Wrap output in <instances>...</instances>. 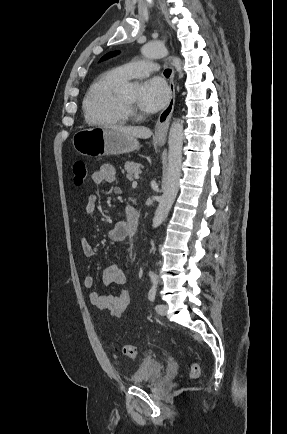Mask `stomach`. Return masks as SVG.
I'll list each match as a JSON object with an SVG mask.
<instances>
[{
  "label": "stomach",
  "instance_id": "0dacf381",
  "mask_svg": "<svg viewBox=\"0 0 287 434\" xmlns=\"http://www.w3.org/2000/svg\"><path fill=\"white\" fill-rule=\"evenodd\" d=\"M72 143L74 149L81 155L95 157L126 154L137 150L140 146L137 138L124 135L109 127L81 129L74 134ZM155 143L162 145L164 139L155 140Z\"/></svg>",
  "mask_w": 287,
  "mask_h": 434
}]
</instances>
